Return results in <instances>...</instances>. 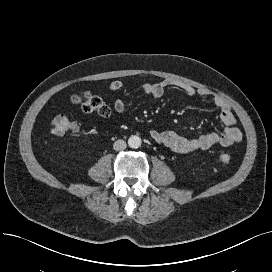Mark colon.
Instances as JSON below:
<instances>
[{"label": "colon", "mask_w": 272, "mask_h": 272, "mask_svg": "<svg viewBox=\"0 0 272 272\" xmlns=\"http://www.w3.org/2000/svg\"><path fill=\"white\" fill-rule=\"evenodd\" d=\"M70 101L75 105H79L87 113H96L102 117H107L110 114L109 107L99 97L91 93L74 94L70 97ZM77 130V124L64 115H58L51 121V133L53 135L61 136L74 133ZM218 159L225 165L232 162L231 155L227 153H221Z\"/></svg>", "instance_id": "1"}]
</instances>
